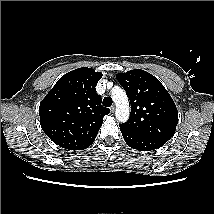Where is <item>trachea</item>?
I'll return each instance as SVG.
<instances>
[{
  "label": "trachea",
  "mask_w": 214,
  "mask_h": 214,
  "mask_svg": "<svg viewBox=\"0 0 214 214\" xmlns=\"http://www.w3.org/2000/svg\"><path fill=\"white\" fill-rule=\"evenodd\" d=\"M103 105L105 107H110L112 105V99L110 97H104Z\"/></svg>",
  "instance_id": "1"
}]
</instances>
